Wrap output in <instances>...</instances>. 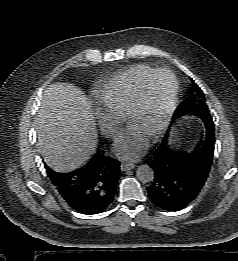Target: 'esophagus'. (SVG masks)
Returning a JSON list of instances; mask_svg holds the SVG:
<instances>
[{"mask_svg":"<svg viewBox=\"0 0 238 261\" xmlns=\"http://www.w3.org/2000/svg\"><path fill=\"white\" fill-rule=\"evenodd\" d=\"M135 167L134 163H130V162H122L120 165V168L122 171H127V170H131Z\"/></svg>","mask_w":238,"mask_h":261,"instance_id":"obj_1","label":"esophagus"}]
</instances>
